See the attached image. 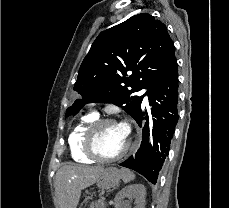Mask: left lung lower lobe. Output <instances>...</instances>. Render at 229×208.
Listing matches in <instances>:
<instances>
[{
    "label": "left lung lower lobe",
    "mask_w": 229,
    "mask_h": 208,
    "mask_svg": "<svg viewBox=\"0 0 229 208\" xmlns=\"http://www.w3.org/2000/svg\"><path fill=\"white\" fill-rule=\"evenodd\" d=\"M178 72H176L162 85L149 89L147 92L151 106V121L147 111L142 108L134 116L141 127L142 120H146L143 127L141 148L121 166L133 169L156 184L158 173L169 154L170 143L173 138L175 126L178 122ZM152 131L149 132V128Z\"/></svg>",
    "instance_id": "1"
}]
</instances>
